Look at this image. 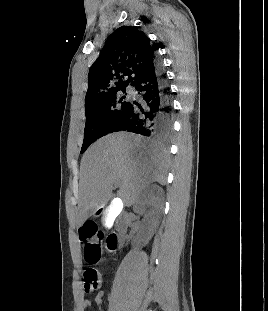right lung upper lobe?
<instances>
[{
  "mask_svg": "<svg viewBox=\"0 0 268 311\" xmlns=\"http://www.w3.org/2000/svg\"><path fill=\"white\" fill-rule=\"evenodd\" d=\"M156 50L145 33L137 28H117L90 68L85 110L139 78L154 62ZM126 76L128 79L123 81Z\"/></svg>",
  "mask_w": 268,
  "mask_h": 311,
  "instance_id": "1",
  "label": "right lung upper lobe"
}]
</instances>
